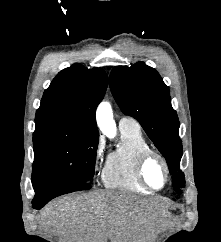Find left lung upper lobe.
<instances>
[{
	"label": "left lung upper lobe",
	"instance_id": "5c2ea615",
	"mask_svg": "<svg viewBox=\"0 0 221 242\" xmlns=\"http://www.w3.org/2000/svg\"><path fill=\"white\" fill-rule=\"evenodd\" d=\"M109 84L122 112L141 124L165 157L173 175V187L175 191L181 192L180 187L185 186V177L179 168L182 143L179 120L171 106L169 88L158 72L143 62L131 67H115Z\"/></svg>",
	"mask_w": 221,
	"mask_h": 242
}]
</instances>
